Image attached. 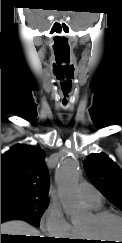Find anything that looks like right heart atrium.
<instances>
[{"mask_svg":"<svg viewBox=\"0 0 122 243\" xmlns=\"http://www.w3.org/2000/svg\"><path fill=\"white\" fill-rule=\"evenodd\" d=\"M43 231L53 238L69 239L77 236L76 228L65 218L61 208L52 204L45 212L42 221Z\"/></svg>","mask_w":122,"mask_h":243,"instance_id":"1","label":"right heart atrium"}]
</instances>
